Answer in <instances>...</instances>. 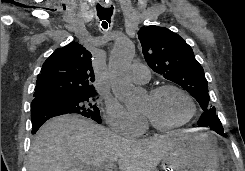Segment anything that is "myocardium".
I'll return each instance as SVG.
<instances>
[{
	"label": "myocardium",
	"instance_id": "obj_1",
	"mask_svg": "<svg viewBox=\"0 0 245 171\" xmlns=\"http://www.w3.org/2000/svg\"><path fill=\"white\" fill-rule=\"evenodd\" d=\"M166 90H175L181 93L189 102L190 112L184 120L178 123H174V124H162V123L157 122L150 115L144 114L145 118L150 123V125L159 131H171V130L181 128L185 126L186 124H188L195 117L196 112H197V106H196L194 98L191 96V94L187 90H185L184 88L176 84L168 83V84H162V85L155 86L149 91V95L156 96Z\"/></svg>",
	"mask_w": 245,
	"mask_h": 171
}]
</instances>
